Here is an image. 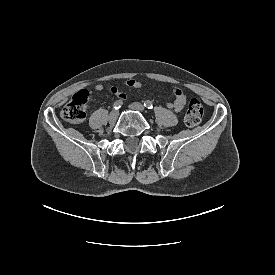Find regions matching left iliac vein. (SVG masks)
I'll use <instances>...</instances> for the list:
<instances>
[{"mask_svg":"<svg viewBox=\"0 0 275 275\" xmlns=\"http://www.w3.org/2000/svg\"><path fill=\"white\" fill-rule=\"evenodd\" d=\"M129 108L132 109V110H135V111H139V112H141V113H144V107H143V105L140 104V103H137V102L132 103V104L129 105Z\"/></svg>","mask_w":275,"mask_h":275,"instance_id":"obj_1","label":"left iliac vein"}]
</instances>
